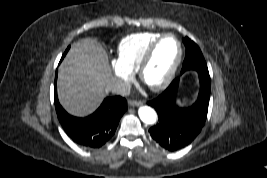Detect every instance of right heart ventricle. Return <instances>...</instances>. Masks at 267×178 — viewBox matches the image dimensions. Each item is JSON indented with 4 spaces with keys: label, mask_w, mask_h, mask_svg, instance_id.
<instances>
[{
    "label": "right heart ventricle",
    "mask_w": 267,
    "mask_h": 178,
    "mask_svg": "<svg viewBox=\"0 0 267 178\" xmlns=\"http://www.w3.org/2000/svg\"><path fill=\"white\" fill-rule=\"evenodd\" d=\"M161 35L159 32H142L123 38L117 47V61L130 71H137L144 53Z\"/></svg>",
    "instance_id": "obj_1"
}]
</instances>
